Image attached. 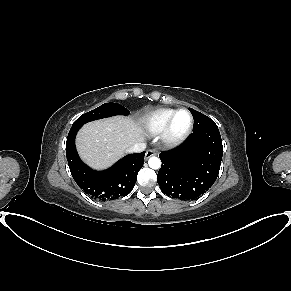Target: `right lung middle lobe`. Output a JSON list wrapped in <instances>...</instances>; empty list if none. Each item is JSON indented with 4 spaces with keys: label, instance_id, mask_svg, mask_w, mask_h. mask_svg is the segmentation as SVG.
I'll return each mask as SVG.
<instances>
[{
    "label": "right lung middle lobe",
    "instance_id": "right-lung-middle-lobe-1",
    "mask_svg": "<svg viewBox=\"0 0 291 291\" xmlns=\"http://www.w3.org/2000/svg\"><path fill=\"white\" fill-rule=\"evenodd\" d=\"M129 110L117 103H105L98 108L83 114L72 125L71 128H80L83 124L114 115H129Z\"/></svg>",
    "mask_w": 291,
    "mask_h": 291
}]
</instances>
